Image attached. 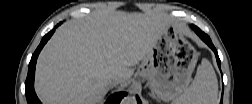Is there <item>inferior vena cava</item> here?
Here are the masks:
<instances>
[{
	"label": "inferior vena cava",
	"instance_id": "obj_1",
	"mask_svg": "<svg viewBox=\"0 0 252 104\" xmlns=\"http://www.w3.org/2000/svg\"><path fill=\"white\" fill-rule=\"evenodd\" d=\"M121 82V77H119V76H115V77H112L111 79H110V86L111 87H114V86H116L117 84H119Z\"/></svg>",
	"mask_w": 252,
	"mask_h": 104
}]
</instances>
